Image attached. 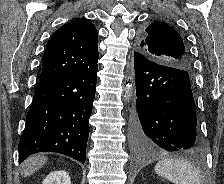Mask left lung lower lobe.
Here are the masks:
<instances>
[{"instance_id": "left-lung-lower-lobe-1", "label": "left lung lower lobe", "mask_w": 224, "mask_h": 184, "mask_svg": "<svg viewBox=\"0 0 224 184\" xmlns=\"http://www.w3.org/2000/svg\"><path fill=\"white\" fill-rule=\"evenodd\" d=\"M136 108L134 142L142 153L197 154L203 144L196 127V107L186 70L149 61L134 53Z\"/></svg>"}]
</instances>
